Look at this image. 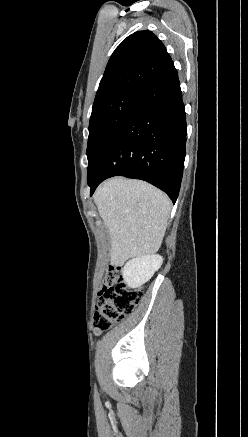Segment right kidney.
I'll list each match as a JSON object with an SVG mask.
<instances>
[{
    "mask_svg": "<svg viewBox=\"0 0 248 437\" xmlns=\"http://www.w3.org/2000/svg\"><path fill=\"white\" fill-rule=\"evenodd\" d=\"M163 258L160 255H147L128 261L122 269L123 278L130 288H138L145 284L161 267Z\"/></svg>",
    "mask_w": 248,
    "mask_h": 437,
    "instance_id": "1",
    "label": "right kidney"
}]
</instances>
